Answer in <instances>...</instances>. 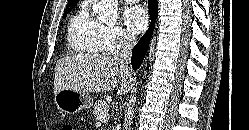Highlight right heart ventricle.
Masks as SVG:
<instances>
[{
  "instance_id": "obj_1",
  "label": "right heart ventricle",
  "mask_w": 249,
  "mask_h": 130,
  "mask_svg": "<svg viewBox=\"0 0 249 130\" xmlns=\"http://www.w3.org/2000/svg\"><path fill=\"white\" fill-rule=\"evenodd\" d=\"M102 24L82 5L71 17L67 29L69 47L76 53L97 55L106 52Z\"/></svg>"
}]
</instances>
